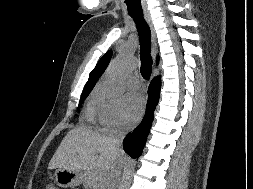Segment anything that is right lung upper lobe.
I'll list each match as a JSON object with an SVG mask.
<instances>
[{"label": "right lung upper lobe", "mask_w": 253, "mask_h": 189, "mask_svg": "<svg viewBox=\"0 0 253 189\" xmlns=\"http://www.w3.org/2000/svg\"><path fill=\"white\" fill-rule=\"evenodd\" d=\"M111 56H112L111 50L107 51L106 54L104 56H102V58L99 60L98 64L94 68V70L91 72L88 82L86 83L83 91L93 89L96 82L98 81V79L103 74L106 67L108 66Z\"/></svg>", "instance_id": "obj_1"}]
</instances>
